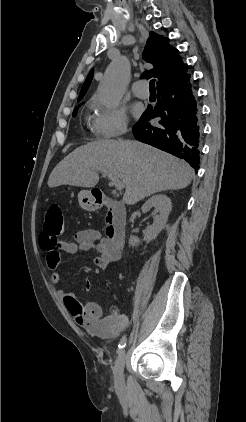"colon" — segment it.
Wrapping results in <instances>:
<instances>
[{"label":"colon","mask_w":246,"mask_h":422,"mask_svg":"<svg viewBox=\"0 0 246 422\" xmlns=\"http://www.w3.org/2000/svg\"><path fill=\"white\" fill-rule=\"evenodd\" d=\"M64 227V217L60 205L57 203L49 205L46 210L44 231L57 236L63 233Z\"/></svg>","instance_id":"5ec220e1"}]
</instances>
